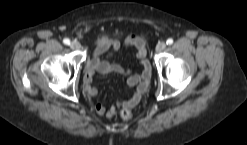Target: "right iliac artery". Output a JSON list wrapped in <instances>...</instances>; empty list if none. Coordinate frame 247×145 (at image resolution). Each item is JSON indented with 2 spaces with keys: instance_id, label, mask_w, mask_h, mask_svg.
I'll use <instances>...</instances> for the list:
<instances>
[{
  "instance_id": "82829eb1",
  "label": "right iliac artery",
  "mask_w": 247,
  "mask_h": 145,
  "mask_svg": "<svg viewBox=\"0 0 247 145\" xmlns=\"http://www.w3.org/2000/svg\"><path fill=\"white\" fill-rule=\"evenodd\" d=\"M63 43L66 44V45H69L70 44V40L68 38H65L63 40Z\"/></svg>"
}]
</instances>
